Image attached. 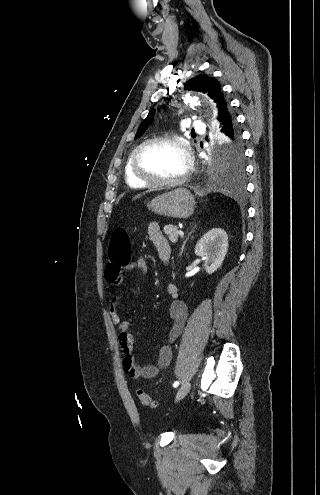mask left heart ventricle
<instances>
[{
	"label": "left heart ventricle",
	"mask_w": 320,
	"mask_h": 495,
	"mask_svg": "<svg viewBox=\"0 0 320 495\" xmlns=\"http://www.w3.org/2000/svg\"><path fill=\"white\" fill-rule=\"evenodd\" d=\"M140 169L147 175L159 179H175L186 167L182 150L167 142L147 146L139 157Z\"/></svg>",
	"instance_id": "obj_1"
}]
</instances>
